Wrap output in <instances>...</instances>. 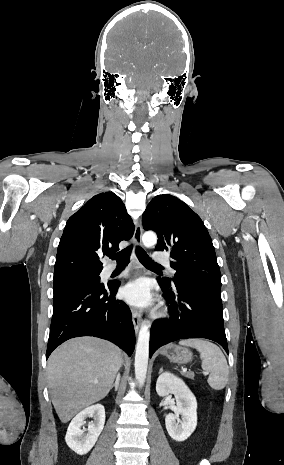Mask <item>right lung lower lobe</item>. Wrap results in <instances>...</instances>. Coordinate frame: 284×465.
<instances>
[{
	"label": "right lung lower lobe",
	"mask_w": 284,
	"mask_h": 465,
	"mask_svg": "<svg viewBox=\"0 0 284 465\" xmlns=\"http://www.w3.org/2000/svg\"><path fill=\"white\" fill-rule=\"evenodd\" d=\"M120 282L68 288L54 295L46 359L64 341L79 336L109 340L129 356L135 332L129 307L116 300Z\"/></svg>",
	"instance_id": "1"
}]
</instances>
